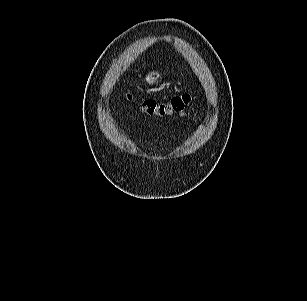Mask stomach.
<instances>
[{
  "mask_svg": "<svg viewBox=\"0 0 307 301\" xmlns=\"http://www.w3.org/2000/svg\"><path fill=\"white\" fill-rule=\"evenodd\" d=\"M160 78H161V74L153 71L146 75L144 81L149 85H153V84H156Z\"/></svg>",
  "mask_w": 307,
  "mask_h": 301,
  "instance_id": "1",
  "label": "stomach"
}]
</instances>
